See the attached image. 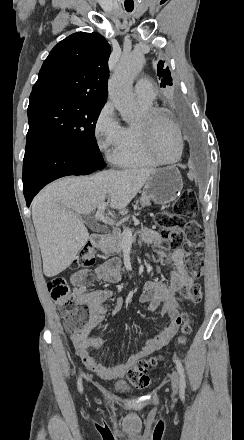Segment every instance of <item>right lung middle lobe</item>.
<instances>
[{"mask_svg":"<svg viewBox=\"0 0 244 440\" xmlns=\"http://www.w3.org/2000/svg\"><path fill=\"white\" fill-rule=\"evenodd\" d=\"M104 104L90 99L30 100L27 138L47 137L85 151H99L95 126Z\"/></svg>","mask_w":244,"mask_h":440,"instance_id":"1","label":"right lung middle lobe"}]
</instances>
